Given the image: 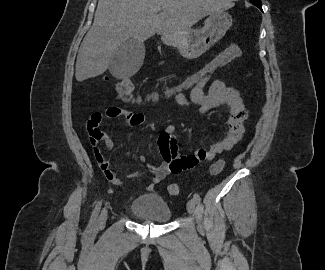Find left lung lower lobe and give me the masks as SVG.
<instances>
[{
    "label": "left lung lower lobe",
    "mask_w": 325,
    "mask_h": 270,
    "mask_svg": "<svg viewBox=\"0 0 325 270\" xmlns=\"http://www.w3.org/2000/svg\"><path fill=\"white\" fill-rule=\"evenodd\" d=\"M255 6H257L258 8H260L262 10V8H261L262 5H255Z\"/></svg>",
    "instance_id": "0a47b994"
}]
</instances>
